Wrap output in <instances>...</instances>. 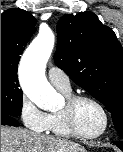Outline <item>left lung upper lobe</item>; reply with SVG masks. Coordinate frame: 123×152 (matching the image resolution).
<instances>
[{
	"instance_id": "5c2ea615",
	"label": "left lung upper lobe",
	"mask_w": 123,
	"mask_h": 152,
	"mask_svg": "<svg viewBox=\"0 0 123 152\" xmlns=\"http://www.w3.org/2000/svg\"><path fill=\"white\" fill-rule=\"evenodd\" d=\"M56 65L105 105L123 138V47L92 12L66 14L57 24Z\"/></svg>"
}]
</instances>
